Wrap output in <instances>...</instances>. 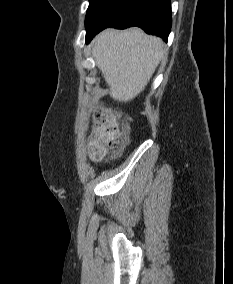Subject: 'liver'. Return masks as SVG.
<instances>
[{
	"mask_svg": "<svg viewBox=\"0 0 233 284\" xmlns=\"http://www.w3.org/2000/svg\"><path fill=\"white\" fill-rule=\"evenodd\" d=\"M91 47L110 96L121 102L132 100L144 90L164 55L162 40L139 28L104 30Z\"/></svg>",
	"mask_w": 233,
	"mask_h": 284,
	"instance_id": "1",
	"label": "liver"
}]
</instances>
